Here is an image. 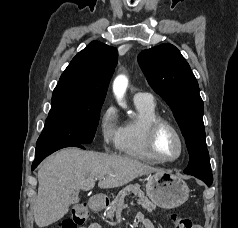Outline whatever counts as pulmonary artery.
I'll return each instance as SVG.
<instances>
[{
	"label": "pulmonary artery",
	"instance_id": "1",
	"mask_svg": "<svg viewBox=\"0 0 238 228\" xmlns=\"http://www.w3.org/2000/svg\"><path fill=\"white\" fill-rule=\"evenodd\" d=\"M135 102H143V103H154L153 97L150 94L138 92L134 95Z\"/></svg>",
	"mask_w": 238,
	"mask_h": 228
}]
</instances>
